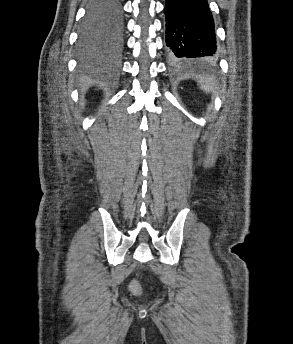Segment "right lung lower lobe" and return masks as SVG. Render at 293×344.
Listing matches in <instances>:
<instances>
[{
    "label": "right lung lower lobe",
    "instance_id": "1",
    "mask_svg": "<svg viewBox=\"0 0 293 344\" xmlns=\"http://www.w3.org/2000/svg\"><path fill=\"white\" fill-rule=\"evenodd\" d=\"M119 3H120V0H119ZM120 7H121V4H120ZM121 36H122V22H121V30L117 34H115V38H114L115 43L113 45H119L121 43Z\"/></svg>",
    "mask_w": 293,
    "mask_h": 344
}]
</instances>
